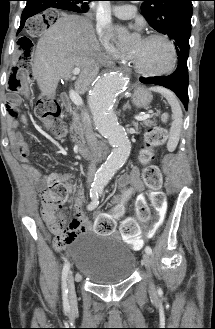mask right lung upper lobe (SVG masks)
I'll list each match as a JSON object with an SVG mask.
<instances>
[{
    "mask_svg": "<svg viewBox=\"0 0 215 329\" xmlns=\"http://www.w3.org/2000/svg\"><path fill=\"white\" fill-rule=\"evenodd\" d=\"M52 1H65V0H52ZM87 1H92V0H87ZM47 8H49V5H46Z\"/></svg>",
    "mask_w": 215,
    "mask_h": 329,
    "instance_id": "obj_1",
    "label": "right lung upper lobe"
}]
</instances>
